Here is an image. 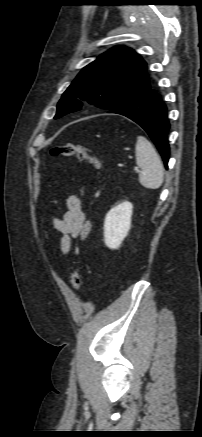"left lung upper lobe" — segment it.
Here are the masks:
<instances>
[{
  "label": "left lung upper lobe",
  "mask_w": 202,
  "mask_h": 437,
  "mask_svg": "<svg viewBox=\"0 0 202 437\" xmlns=\"http://www.w3.org/2000/svg\"><path fill=\"white\" fill-rule=\"evenodd\" d=\"M149 88L146 62L132 49L116 47L82 69L63 93L54 118L80 110L75 98L111 110Z\"/></svg>",
  "instance_id": "1"
}]
</instances>
